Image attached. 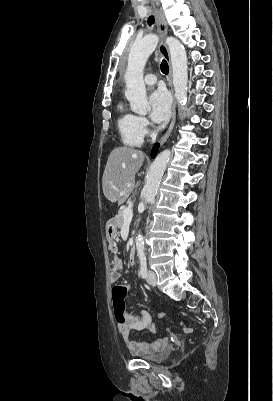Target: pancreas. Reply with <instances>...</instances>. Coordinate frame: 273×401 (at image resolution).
<instances>
[{
	"label": "pancreas",
	"mask_w": 273,
	"mask_h": 401,
	"mask_svg": "<svg viewBox=\"0 0 273 401\" xmlns=\"http://www.w3.org/2000/svg\"><path fill=\"white\" fill-rule=\"evenodd\" d=\"M115 221L118 229H122L124 225L123 209L122 211H119L118 215H116Z\"/></svg>",
	"instance_id": "obj_1"
}]
</instances>
